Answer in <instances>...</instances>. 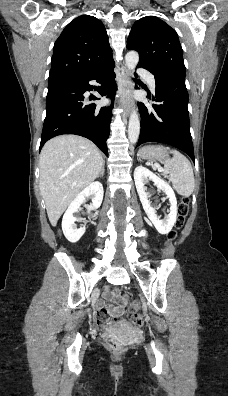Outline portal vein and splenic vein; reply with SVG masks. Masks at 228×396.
Returning a JSON list of instances; mask_svg holds the SVG:
<instances>
[{"mask_svg": "<svg viewBox=\"0 0 228 396\" xmlns=\"http://www.w3.org/2000/svg\"><path fill=\"white\" fill-rule=\"evenodd\" d=\"M158 169H159L160 171H162V170H163L161 167H158Z\"/></svg>", "mask_w": 228, "mask_h": 396, "instance_id": "obj_1", "label": "portal vein and splenic vein"}]
</instances>
